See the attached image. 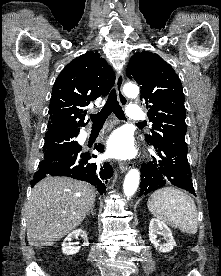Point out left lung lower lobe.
<instances>
[{
    "instance_id": "left-lung-lower-lobe-1",
    "label": "left lung lower lobe",
    "mask_w": 221,
    "mask_h": 276,
    "mask_svg": "<svg viewBox=\"0 0 221 276\" xmlns=\"http://www.w3.org/2000/svg\"><path fill=\"white\" fill-rule=\"evenodd\" d=\"M158 159L141 166L140 196L173 184L195 195L187 152L165 143L155 145Z\"/></svg>"
}]
</instances>
